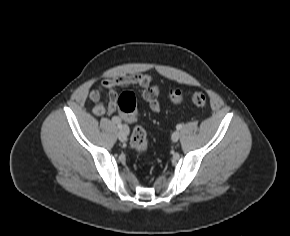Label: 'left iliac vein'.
<instances>
[{"instance_id": "left-iliac-vein-1", "label": "left iliac vein", "mask_w": 290, "mask_h": 236, "mask_svg": "<svg viewBox=\"0 0 290 236\" xmlns=\"http://www.w3.org/2000/svg\"><path fill=\"white\" fill-rule=\"evenodd\" d=\"M180 138V132L179 131H175L173 132L171 139L173 142H177Z\"/></svg>"}]
</instances>
